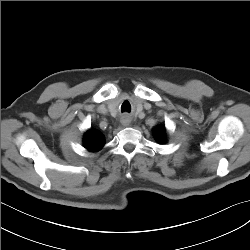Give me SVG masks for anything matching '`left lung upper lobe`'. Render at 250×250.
Wrapping results in <instances>:
<instances>
[{"instance_id":"obj_1","label":"left lung upper lobe","mask_w":250,"mask_h":250,"mask_svg":"<svg viewBox=\"0 0 250 250\" xmlns=\"http://www.w3.org/2000/svg\"><path fill=\"white\" fill-rule=\"evenodd\" d=\"M164 135H165V127L160 126V127L155 128V130H154V136H155V139L159 143H164V141H165Z\"/></svg>"}]
</instances>
